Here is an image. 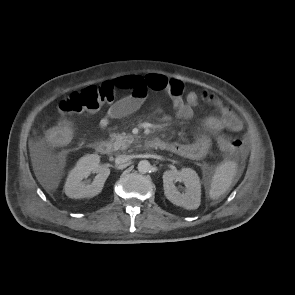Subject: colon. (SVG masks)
<instances>
[{
  "instance_id": "colon-1",
  "label": "colon",
  "mask_w": 295,
  "mask_h": 295,
  "mask_svg": "<svg viewBox=\"0 0 295 295\" xmlns=\"http://www.w3.org/2000/svg\"><path fill=\"white\" fill-rule=\"evenodd\" d=\"M120 90L125 89L112 81L105 82L100 86H90L70 95L60 104L59 110L64 115L97 111L103 105L113 103ZM46 138L53 145L64 146L71 139V129L67 123H60L47 131ZM217 142L219 148L228 155L243 152V143L239 139L219 136Z\"/></svg>"
}]
</instances>
